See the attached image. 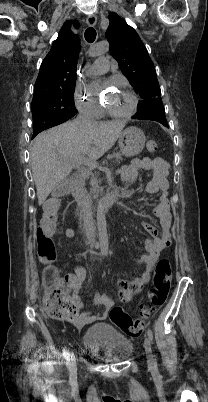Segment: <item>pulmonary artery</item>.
<instances>
[{"label": "pulmonary artery", "instance_id": "obj_1", "mask_svg": "<svg viewBox=\"0 0 208 402\" xmlns=\"http://www.w3.org/2000/svg\"><path fill=\"white\" fill-rule=\"evenodd\" d=\"M95 55H102L103 53H94ZM107 62L106 59L101 58L96 60L90 67H89V73L90 74H103L107 72V66L105 63Z\"/></svg>", "mask_w": 208, "mask_h": 402}]
</instances>
